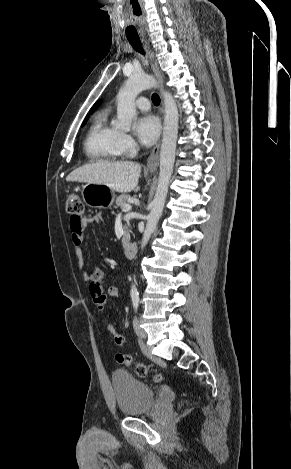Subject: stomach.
I'll use <instances>...</instances> for the list:
<instances>
[{"label": "stomach", "instance_id": "1", "mask_svg": "<svg viewBox=\"0 0 291 469\" xmlns=\"http://www.w3.org/2000/svg\"><path fill=\"white\" fill-rule=\"evenodd\" d=\"M82 196L88 206L99 209L110 207L115 199V193L112 188L96 183H88L83 186Z\"/></svg>", "mask_w": 291, "mask_h": 469}]
</instances>
